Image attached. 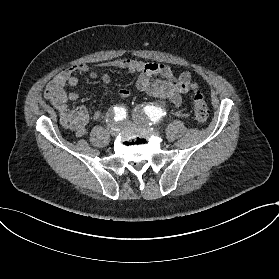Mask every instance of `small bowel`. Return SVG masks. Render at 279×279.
Instances as JSON below:
<instances>
[{
    "label": "small bowel",
    "mask_w": 279,
    "mask_h": 279,
    "mask_svg": "<svg viewBox=\"0 0 279 279\" xmlns=\"http://www.w3.org/2000/svg\"><path fill=\"white\" fill-rule=\"evenodd\" d=\"M102 68L127 70L138 73L137 87L148 95L164 101H169L174 107L181 104V94L197 88L196 83L188 71L177 73L171 66L144 62L136 59L123 58L113 60L100 65ZM77 73L88 74L91 78L96 77V71L86 64L72 65L57 74L46 86L44 98L58 112L60 124L81 137L87 131L90 118L89 112L84 107L69 108V102L79 98L78 93L69 92L67 86H76L79 82ZM109 74L102 76L105 84L110 83ZM119 96L128 98L130 91L121 88ZM102 112L96 109L92 113L94 119H99Z\"/></svg>",
    "instance_id": "c3829d8e"
}]
</instances>
